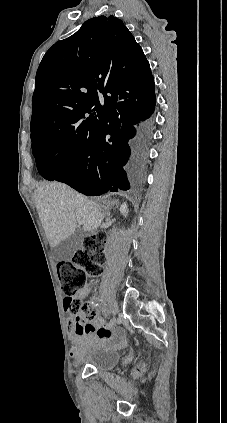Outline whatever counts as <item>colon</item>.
Wrapping results in <instances>:
<instances>
[{"mask_svg":"<svg viewBox=\"0 0 227 423\" xmlns=\"http://www.w3.org/2000/svg\"><path fill=\"white\" fill-rule=\"evenodd\" d=\"M106 240L104 232L88 236L84 239V248L78 251L72 260L60 261L57 264L62 291L66 296V310L86 321L93 318V310L76 295L85 286L87 276L101 273L105 261Z\"/></svg>","mask_w":227,"mask_h":423,"instance_id":"obj_1","label":"colon"}]
</instances>
